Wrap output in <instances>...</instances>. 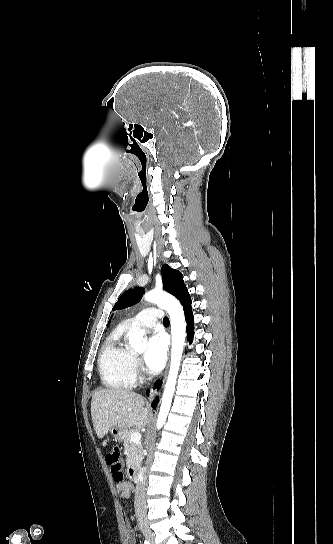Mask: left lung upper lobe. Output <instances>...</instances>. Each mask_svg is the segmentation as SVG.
I'll use <instances>...</instances> for the list:
<instances>
[{
  "mask_svg": "<svg viewBox=\"0 0 333 544\" xmlns=\"http://www.w3.org/2000/svg\"><path fill=\"white\" fill-rule=\"evenodd\" d=\"M163 286L167 292L175 296L182 305L191 302L190 295L183 281V275L178 270L172 269L167 264L161 268ZM144 293L143 288L129 289L124 292L114 305L113 310L130 307L138 303Z\"/></svg>",
  "mask_w": 333,
  "mask_h": 544,
  "instance_id": "left-lung-upper-lobe-1",
  "label": "left lung upper lobe"
}]
</instances>
